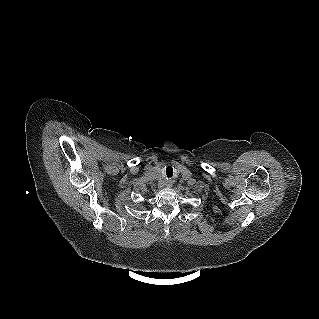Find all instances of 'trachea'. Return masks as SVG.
<instances>
[{
  "label": "trachea",
  "instance_id": "obj_1",
  "mask_svg": "<svg viewBox=\"0 0 319 319\" xmlns=\"http://www.w3.org/2000/svg\"><path fill=\"white\" fill-rule=\"evenodd\" d=\"M165 173H166V176H167V177H169V178L172 177V176H173V173H174V172H173V168H172L171 166H167Z\"/></svg>",
  "mask_w": 319,
  "mask_h": 319
}]
</instances>
